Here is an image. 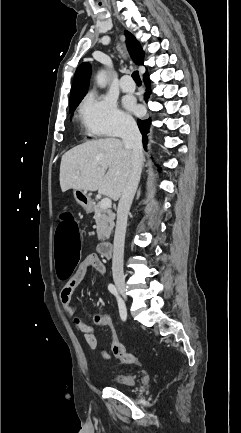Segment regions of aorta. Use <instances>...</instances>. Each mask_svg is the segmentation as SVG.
I'll return each mask as SVG.
<instances>
[{
    "label": "aorta",
    "instance_id": "1",
    "mask_svg": "<svg viewBox=\"0 0 241 433\" xmlns=\"http://www.w3.org/2000/svg\"><path fill=\"white\" fill-rule=\"evenodd\" d=\"M97 84L104 87L107 83V72L105 70L100 71L96 76Z\"/></svg>",
    "mask_w": 241,
    "mask_h": 433
}]
</instances>
